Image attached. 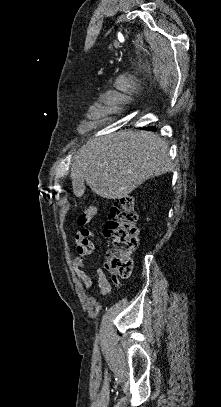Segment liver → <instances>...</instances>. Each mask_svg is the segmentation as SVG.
<instances>
[{"mask_svg":"<svg viewBox=\"0 0 221 407\" xmlns=\"http://www.w3.org/2000/svg\"><path fill=\"white\" fill-rule=\"evenodd\" d=\"M174 169L168 144L150 131H119L88 140L76 153L72 180L106 199L127 197L150 178Z\"/></svg>","mask_w":221,"mask_h":407,"instance_id":"obj_1","label":"liver"}]
</instances>
